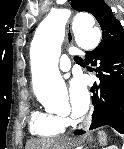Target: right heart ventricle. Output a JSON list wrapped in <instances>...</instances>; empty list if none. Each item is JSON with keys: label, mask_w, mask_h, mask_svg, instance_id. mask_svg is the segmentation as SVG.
<instances>
[{"label": "right heart ventricle", "mask_w": 124, "mask_h": 149, "mask_svg": "<svg viewBox=\"0 0 124 149\" xmlns=\"http://www.w3.org/2000/svg\"><path fill=\"white\" fill-rule=\"evenodd\" d=\"M65 126L61 117L48 111L36 110L30 116V133L41 139H52L61 135Z\"/></svg>", "instance_id": "right-heart-ventricle-1"}]
</instances>
